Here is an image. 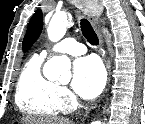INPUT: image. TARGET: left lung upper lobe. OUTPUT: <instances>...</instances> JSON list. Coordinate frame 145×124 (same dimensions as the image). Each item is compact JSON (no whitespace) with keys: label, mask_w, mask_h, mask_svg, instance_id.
<instances>
[{"label":"left lung upper lobe","mask_w":145,"mask_h":124,"mask_svg":"<svg viewBox=\"0 0 145 124\" xmlns=\"http://www.w3.org/2000/svg\"><path fill=\"white\" fill-rule=\"evenodd\" d=\"M42 26V12L38 9L28 24L27 32L23 40L24 51L28 50L38 38L41 33Z\"/></svg>","instance_id":"5c2ea615"}]
</instances>
